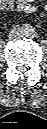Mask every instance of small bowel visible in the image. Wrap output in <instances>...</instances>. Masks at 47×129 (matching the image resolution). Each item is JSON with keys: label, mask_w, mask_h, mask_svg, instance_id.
<instances>
[{"label": "small bowel", "mask_w": 47, "mask_h": 129, "mask_svg": "<svg viewBox=\"0 0 47 129\" xmlns=\"http://www.w3.org/2000/svg\"><path fill=\"white\" fill-rule=\"evenodd\" d=\"M35 0H2L1 7L5 10H12L14 8L25 13H34L36 6L33 4Z\"/></svg>", "instance_id": "small-bowel-1"}]
</instances>
